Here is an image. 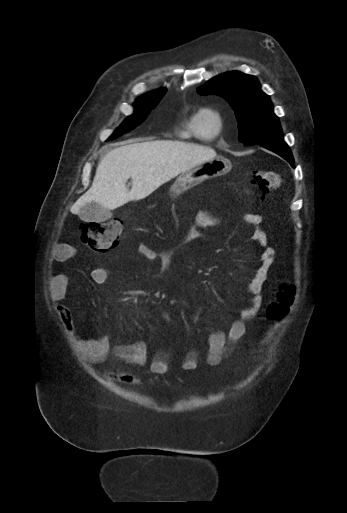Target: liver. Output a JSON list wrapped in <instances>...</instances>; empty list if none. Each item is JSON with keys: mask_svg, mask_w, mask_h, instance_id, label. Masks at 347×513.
Wrapping results in <instances>:
<instances>
[{"mask_svg": "<svg viewBox=\"0 0 347 513\" xmlns=\"http://www.w3.org/2000/svg\"><path fill=\"white\" fill-rule=\"evenodd\" d=\"M216 157L212 148L180 141L156 140L120 146L99 162L91 188L71 207L73 214L95 202L114 210L149 196L182 172ZM132 180L129 191L128 179Z\"/></svg>", "mask_w": 347, "mask_h": 513, "instance_id": "obj_1", "label": "liver"}]
</instances>
